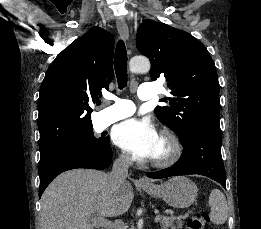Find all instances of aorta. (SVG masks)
<instances>
[{
	"mask_svg": "<svg viewBox=\"0 0 261 229\" xmlns=\"http://www.w3.org/2000/svg\"><path fill=\"white\" fill-rule=\"evenodd\" d=\"M150 60L146 56H132L129 62V70L131 72H149Z\"/></svg>",
	"mask_w": 261,
	"mask_h": 229,
	"instance_id": "obj_1",
	"label": "aorta"
}]
</instances>
